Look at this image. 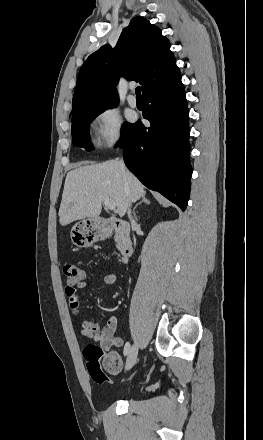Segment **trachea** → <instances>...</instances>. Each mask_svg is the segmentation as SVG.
<instances>
[{"mask_svg":"<svg viewBox=\"0 0 263 440\" xmlns=\"http://www.w3.org/2000/svg\"><path fill=\"white\" fill-rule=\"evenodd\" d=\"M135 92H136L137 97H141V88L140 87H137Z\"/></svg>","mask_w":263,"mask_h":440,"instance_id":"obj_1","label":"trachea"}]
</instances>
